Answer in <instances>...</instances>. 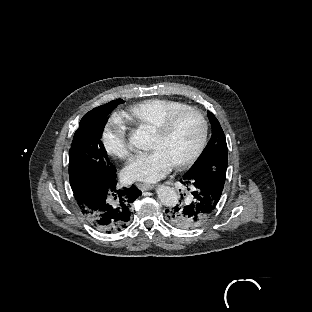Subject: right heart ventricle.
Listing matches in <instances>:
<instances>
[{
	"instance_id": "right-heart-ventricle-1",
	"label": "right heart ventricle",
	"mask_w": 312,
	"mask_h": 312,
	"mask_svg": "<svg viewBox=\"0 0 312 312\" xmlns=\"http://www.w3.org/2000/svg\"><path fill=\"white\" fill-rule=\"evenodd\" d=\"M185 106V100L179 96H170L164 99L159 96H152L146 100H135L131 106V114L140 122H145L151 126H160L167 121V118L182 112Z\"/></svg>"
}]
</instances>
